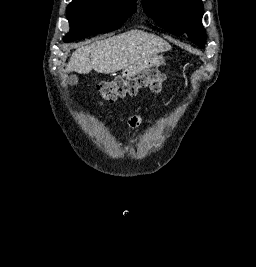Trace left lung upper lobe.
Segmentation results:
<instances>
[{
  "label": "left lung upper lobe",
  "instance_id": "left-lung-upper-lobe-1",
  "mask_svg": "<svg viewBox=\"0 0 256 267\" xmlns=\"http://www.w3.org/2000/svg\"><path fill=\"white\" fill-rule=\"evenodd\" d=\"M145 13L171 33H186L190 40L204 46L201 0H142Z\"/></svg>",
  "mask_w": 256,
  "mask_h": 267
}]
</instances>
